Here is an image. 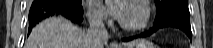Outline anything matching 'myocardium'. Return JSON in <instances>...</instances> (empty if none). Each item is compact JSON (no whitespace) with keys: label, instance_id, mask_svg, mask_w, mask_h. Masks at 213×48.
I'll return each instance as SVG.
<instances>
[{"label":"myocardium","instance_id":"obj_1","mask_svg":"<svg viewBox=\"0 0 213 48\" xmlns=\"http://www.w3.org/2000/svg\"><path fill=\"white\" fill-rule=\"evenodd\" d=\"M128 5L138 6L143 11V19L136 25H128L123 20H120L119 24L122 30L126 32H139L146 28L149 24L151 18V8L149 7L147 1L144 0H130L128 1Z\"/></svg>","mask_w":213,"mask_h":48}]
</instances>
